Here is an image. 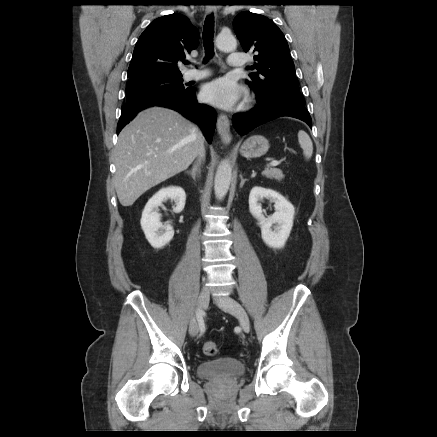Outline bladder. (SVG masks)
Wrapping results in <instances>:
<instances>
[{
    "mask_svg": "<svg viewBox=\"0 0 437 437\" xmlns=\"http://www.w3.org/2000/svg\"><path fill=\"white\" fill-rule=\"evenodd\" d=\"M244 363L236 358L223 357L203 361L197 366V374L201 378H233L243 375Z\"/></svg>",
    "mask_w": 437,
    "mask_h": 437,
    "instance_id": "obj_1",
    "label": "bladder"
}]
</instances>
